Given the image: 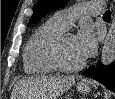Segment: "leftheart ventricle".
Listing matches in <instances>:
<instances>
[{"label": "left heart ventricle", "mask_w": 115, "mask_h": 99, "mask_svg": "<svg viewBox=\"0 0 115 99\" xmlns=\"http://www.w3.org/2000/svg\"><path fill=\"white\" fill-rule=\"evenodd\" d=\"M61 56L65 63L75 65L81 63L84 59L77 47L75 36L67 37L61 47Z\"/></svg>", "instance_id": "left-heart-ventricle-1"}]
</instances>
